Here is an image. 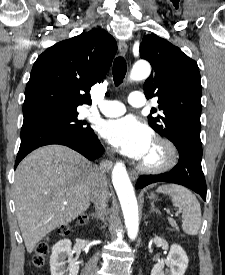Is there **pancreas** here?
<instances>
[{"mask_svg":"<svg viewBox=\"0 0 225 275\" xmlns=\"http://www.w3.org/2000/svg\"><path fill=\"white\" fill-rule=\"evenodd\" d=\"M168 221L172 227H174L176 230H179L176 222L173 219H168Z\"/></svg>","mask_w":225,"mask_h":275,"instance_id":"cf45deb5","label":"pancreas"}]
</instances>
